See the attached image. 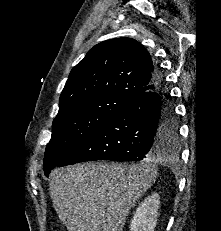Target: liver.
I'll return each mask as SVG.
<instances>
[{
  "label": "liver",
  "instance_id": "6515ba94",
  "mask_svg": "<svg viewBox=\"0 0 221 231\" xmlns=\"http://www.w3.org/2000/svg\"><path fill=\"white\" fill-rule=\"evenodd\" d=\"M167 159L163 153L157 161ZM154 160L87 162L53 170L50 196L68 231H123L129 211L156 180Z\"/></svg>",
  "mask_w": 221,
  "mask_h": 231
}]
</instances>
